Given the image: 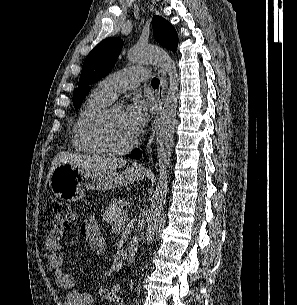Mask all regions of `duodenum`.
<instances>
[{"instance_id": "1", "label": "duodenum", "mask_w": 297, "mask_h": 305, "mask_svg": "<svg viewBox=\"0 0 297 305\" xmlns=\"http://www.w3.org/2000/svg\"><path fill=\"white\" fill-rule=\"evenodd\" d=\"M127 252H128V263H132V261L135 259L136 253H137V242L134 240H130L127 243Z\"/></svg>"}]
</instances>
